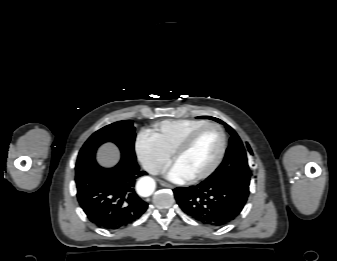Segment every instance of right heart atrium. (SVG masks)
<instances>
[{"instance_id":"d8ad5b80","label":"right heart atrium","mask_w":337,"mask_h":261,"mask_svg":"<svg viewBox=\"0 0 337 261\" xmlns=\"http://www.w3.org/2000/svg\"><path fill=\"white\" fill-rule=\"evenodd\" d=\"M135 148L143 167L151 174L159 173L170 159V154L148 131H143L138 135Z\"/></svg>"}]
</instances>
